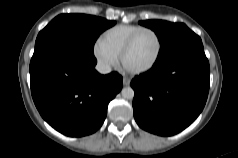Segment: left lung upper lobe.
Masks as SVG:
<instances>
[{
  "mask_svg": "<svg viewBox=\"0 0 238 158\" xmlns=\"http://www.w3.org/2000/svg\"><path fill=\"white\" fill-rule=\"evenodd\" d=\"M141 25L152 29L161 44L157 60L194 42L201 41L200 37L183 23H171L163 20L140 21Z\"/></svg>",
  "mask_w": 238,
  "mask_h": 158,
  "instance_id": "left-lung-upper-lobe-1",
  "label": "left lung upper lobe"
}]
</instances>
